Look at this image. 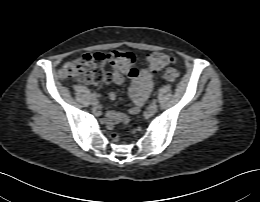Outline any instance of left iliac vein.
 <instances>
[{
	"mask_svg": "<svg viewBox=\"0 0 260 202\" xmlns=\"http://www.w3.org/2000/svg\"><path fill=\"white\" fill-rule=\"evenodd\" d=\"M158 106L154 103L150 104L148 107V112L154 114L157 112Z\"/></svg>",
	"mask_w": 260,
	"mask_h": 202,
	"instance_id": "obj_1",
	"label": "left iliac vein"
}]
</instances>
